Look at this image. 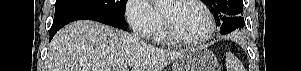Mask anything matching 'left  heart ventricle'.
Listing matches in <instances>:
<instances>
[{"label":"left heart ventricle","mask_w":301,"mask_h":71,"mask_svg":"<svg viewBox=\"0 0 301 71\" xmlns=\"http://www.w3.org/2000/svg\"><path fill=\"white\" fill-rule=\"evenodd\" d=\"M162 11L174 29L185 38L199 39L208 31L209 22L205 13L192 3L166 1L162 4Z\"/></svg>","instance_id":"1"}]
</instances>
